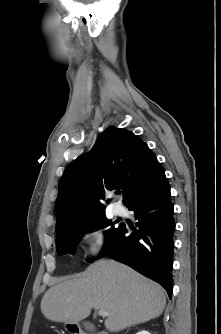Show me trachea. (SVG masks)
Returning <instances> with one entry per match:
<instances>
[{"label":"trachea","instance_id":"1","mask_svg":"<svg viewBox=\"0 0 221 334\" xmlns=\"http://www.w3.org/2000/svg\"><path fill=\"white\" fill-rule=\"evenodd\" d=\"M120 193H121V192H119V191L117 192V194H120Z\"/></svg>","mask_w":221,"mask_h":334}]
</instances>
